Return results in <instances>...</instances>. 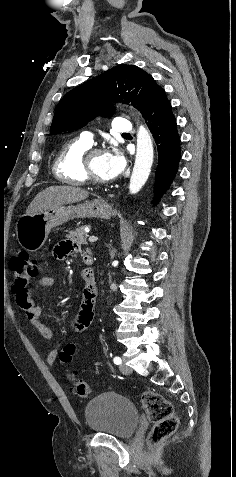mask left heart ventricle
Here are the masks:
<instances>
[{
  "label": "left heart ventricle",
  "instance_id": "1",
  "mask_svg": "<svg viewBox=\"0 0 236 477\" xmlns=\"http://www.w3.org/2000/svg\"><path fill=\"white\" fill-rule=\"evenodd\" d=\"M89 167L92 174L103 180H109V176L106 168V158L105 153L97 154L90 159Z\"/></svg>",
  "mask_w": 236,
  "mask_h": 477
}]
</instances>
